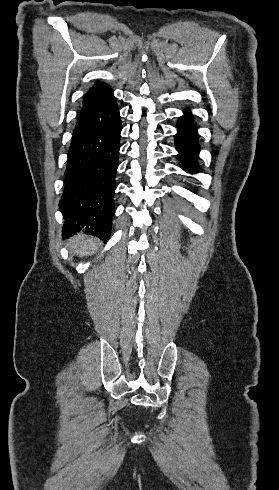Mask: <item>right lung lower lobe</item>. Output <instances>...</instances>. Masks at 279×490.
<instances>
[{"mask_svg":"<svg viewBox=\"0 0 279 490\" xmlns=\"http://www.w3.org/2000/svg\"><path fill=\"white\" fill-rule=\"evenodd\" d=\"M121 120L90 137L72 141L59 209L64 239L77 232L110 237L115 175L119 164Z\"/></svg>","mask_w":279,"mask_h":490,"instance_id":"right-lung-lower-lobe-1","label":"right lung lower lobe"}]
</instances>
